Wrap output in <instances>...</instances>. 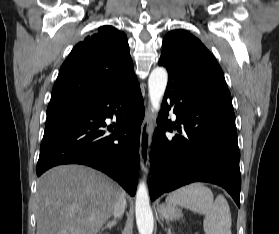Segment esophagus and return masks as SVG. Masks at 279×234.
Segmentation results:
<instances>
[{"label": "esophagus", "instance_id": "obj_1", "mask_svg": "<svg viewBox=\"0 0 279 234\" xmlns=\"http://www.w3.org/2000/svg\"><path fill=\"white\" fill-rule=\"evenodd\" d=\"M152 129V111L151 108L148 107L140 133V164L144 173H148Z\"/></svg>", "mask_w": 279, "mask_h": 234}]
</instances>
